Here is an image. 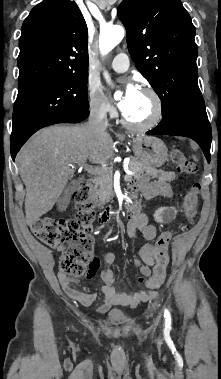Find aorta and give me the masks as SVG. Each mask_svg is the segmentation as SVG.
<instances>
[{"instance_id":"aorta-1","label":"aorta","mask_w":221,"mask_h":379,"mask_svg":"<svg viewBox=\"0 0 221 379\" xmlns=\"http://www.w3.org/2000/svg\"><path fill=\"white\" fill-rule=\"evenodd\" d=\"M124 28L121 26H105L101 29L99 47L103 55L116 47L124 37ZM117 95V94H116Z\"/></svg>"}]
</instances>
